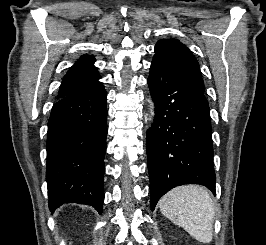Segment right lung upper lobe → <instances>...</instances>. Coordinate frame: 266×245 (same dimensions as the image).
Returning <instances> with one entry per match:
<instances>
[{"label": "right lung upper lobe", "instance_id": "obj_1", "mask_svg": "<svg viewBox=\"0 0 266 245\" xmlns=\"http://www.w3.org/2000/svg\"><path fill=\"white\" fill-rule=\"evenodd\" d=\"M94 62V56H81L63 78L58 98L81 85L98 81L101 77L97 68L93 65Z\"/></svg>", "mask_w": 266, "mask_h": 245}]
</instances>
